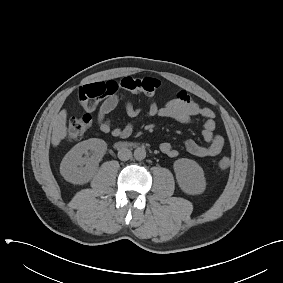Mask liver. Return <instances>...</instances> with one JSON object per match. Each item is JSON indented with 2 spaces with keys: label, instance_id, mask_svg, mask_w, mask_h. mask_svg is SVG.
<instances>
[{
  "label": "liver",
  "instance_id": "liver-1",
  "mask_svg": "<svg viewBox=\"0 0 283 283\" xmlns=\"http://www.w3.org/2000/svg\"><path fill=\"white\" fill-rule=\"evenodd\" d=\"M66 120H67V112L65 109L61 110L58 115L52 121V138L51 143L53 146H58L67 135V127H66Z\"/></svg>",
  "mask_w": 283,
  "mask_h": 283
}]
</instances>
